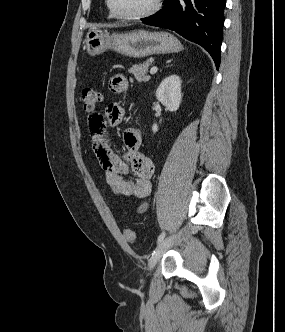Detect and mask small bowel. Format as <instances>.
I'll return each mask as SVG.
<instances>
[{
	"label": "small bowel",
	"mask_w": 285,
	"mask_h": 332,
	"mask_svg": "<svg viewBox=\"0 0 285 332\" xmlns=\"http://www.w3.org/2000/svg\"><path fill=\"white\" fill-rule=\"evenodd\" d=\"M128 87V80L123 74H116L109 81V88L114 93H125ZM107 104L100 103L89 116L92 145L104 170L106 184L115 195L146 199L152 190L154 163L140 151L142 134L133 127L127 128L123 133V155L120 156L113 150L104 127L118 126L125 117V110L118 104ZM130 172L134 174V178L127 179L125 176ZM146 207V203L141 204L138 212H143Z\"/></svg>",
	"instance_id": "small-bowel-1"
}]
</instances>
